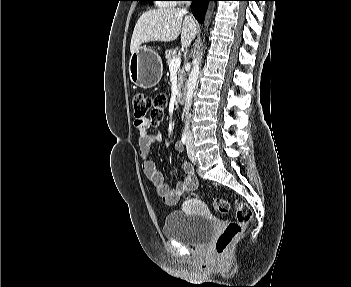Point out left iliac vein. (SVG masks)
<instances>
[{
  "instance_id": "1",
  "label": "left iliac vein",
  "mask_w": 351,
  "mask_h": 287,
  "mask_svg": "<svg viewBox=\"0 0 351 287\" xmlns=\"http://www.w3.org/2000/svg\"><path fill=\"white\" fill-rule=\"evenodd\" d=\"M187 154H188L189 159L192 162L197 161V157H196L194 146H193V138L191 135L188 137V140H187Z\"/></svg>"
}]
</instances>
